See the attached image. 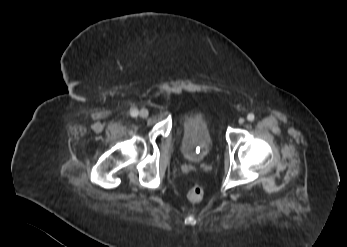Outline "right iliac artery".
Segmentation results:
<instances>
[{
	"mask_svg": "<svg viewBox=\"0 0 347 247\" xmlns=\"http://www.w3.org/2000/svg\"><path fill=\"white\" fill-rule=\"evenodd\" d=\"M130 115H131L132 117H136V116L138 115V109H136V108H131V109H130Z\"/></svg>",
	"mask_w": 347,
	"mask_h": 247,
	"instance_id": "right-iliac-artery-1",
	"label": "right iliac artery"
}]
</instances>
